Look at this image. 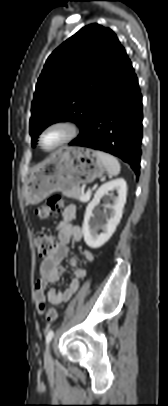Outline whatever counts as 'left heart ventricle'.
Wrapping results in <instances>:
<instances>
[{
    "mask_svg": "<svg viewBox=\"0 0 168 406\" xmlns=\"http://www.w3.org/2000/svg\"><path fill=\"white\" fill-rule=\"evenodd\" d=\"M64 135V130L60 128L50 129L44 134L42 138L43 145L46 148L54 147L63 139Z\"/></svg>",
    "mask_w": 168,
    "mask_h": 406,
    "instance_id": "b2bd125f",
    "label": "left heart ventricle"
}]
</instances>
